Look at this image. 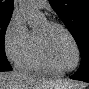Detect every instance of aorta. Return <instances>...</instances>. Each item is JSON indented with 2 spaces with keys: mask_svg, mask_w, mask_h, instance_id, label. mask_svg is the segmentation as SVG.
<instances>
[{
  "mask_svg": "<svg viewBox=\"0 0 89 89\" xmlns=\"http://www.w3.org/2000/svg\"><path fill=\"white\" fill-rule=\"evenodd\" d=\"M19 7L29 27L37 26L44 19V15L38 10L35 0H20Z\"/></svg>",
  "mask_w": 89,
  "mask_h": 89,
  "instance_id": "aorta-1",
  "label": "aorta"
}]
</instances>
